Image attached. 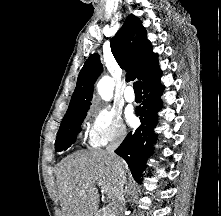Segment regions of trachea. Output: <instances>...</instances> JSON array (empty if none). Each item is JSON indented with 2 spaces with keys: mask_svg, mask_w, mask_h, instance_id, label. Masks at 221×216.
I'll return each mask as SVG.
<instances>
[{
  "mask_svg": "<svg viewBox=\"0 0 221 216\" xmlns=\"http://www.w3.org/2000/svg\"><path fill=\"white\" fill-rule=\"evenodd\" d=\"M133 88H134L135 93H141L142 92L141 81L134 82Z\"/></svg>",
  "mask_w": 221,
  "mask_h": 216,
  "instance_id": "1",
  "label": "trachea"
}]
</instances>
